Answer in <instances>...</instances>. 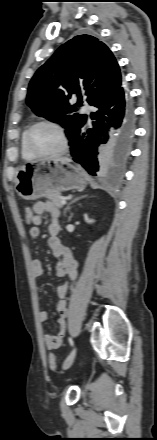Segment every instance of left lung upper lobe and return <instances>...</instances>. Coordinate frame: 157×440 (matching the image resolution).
Here are the masks:
<instances>
[{
  "label": "left lung upper lobe",
  "instance_id": "left-lung-upper-lobe-1",
  "mask_svg": "<svg viewBox=\"0 0 157 440\" xmlns=\"http://www.w3.org/2000/svg\"><path fill=\"white\" fill-rule=\"evenodd\" d=\"M119 65L97 38L79 35L63 44L34 74L26 102L38 116L61 123L71 140L86 115H78L82 96L94 106L121 86ZM77 97L75 105L69 99Z\"/></svg>",
  "mask_w": 157,
  "mask_h": 440
}]
</instances>
